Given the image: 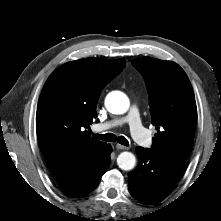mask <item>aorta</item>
Returning a JSON list of instances; mask_svg holds the SVG:
<instances>
[{"mask_svg":"<svg viewBox=\"0 0 221 221\" xmlns=\"http://www.w3.org/2000/svg\"><path fill=\"white\" fill-rule=\"evenodd\" d=\"M130 106L129 98L120 91H112L105 98V107L112 114H124ZM136 158L131 152H122L118 155L117 164L122 170L134 168Z\"/></svg>","mask_w":221,"mask_h":221,"instance_id":"aorta-1","label":"aorta"}]
</instances>
